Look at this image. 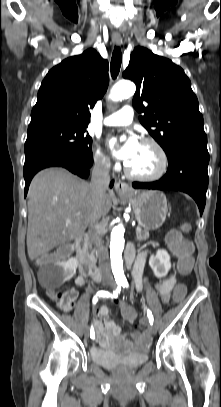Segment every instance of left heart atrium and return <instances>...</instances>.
I'll return each mask as SVG.
<instances>
[{
    "mask_svg": "<svg viewBox=\"0 0 221 407\" xmlns=\"http://www.w3.org/2000/svg\"><path fill=\"white\" fill-rule=\"evenodd\" d=\"M115 144V138H110L108 140V145L113 151V154L117 158L125 160L127 162H129L133 158L139 146V142L135 137H130L121 148L115 149Z\"/></svg>",
    "mask_w": 221,
    "mask_h": 407,
    "instance_id": "obj_1",
    "label": "left heart atrium"
}]
</instances>
